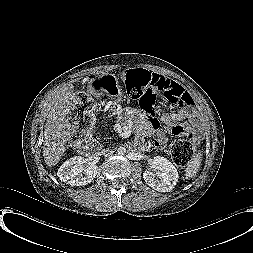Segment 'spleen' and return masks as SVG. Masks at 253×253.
I'll list each match as a JSON object with an SVG mask.
<instances>
[{
    "label": "spleen",
    "instance_id": "obj_1",
    "mask_svg": "<svg viewBox=\"0 0 253 253\" xmlns=\"http://www.w3.org/2000/svg\"><path fill=\"white\" fill-rule=\"evenodd\" d=\"M201 153H198L194 158L188 163V167L186 168V179L192 178L198 171L199 166L201 164Z\"/></svg>",
    "mask_w": 253,
    "mask_h": 253
}]
</instances>
